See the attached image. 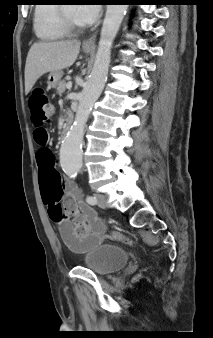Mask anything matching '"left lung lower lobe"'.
Returning <instances> with one entry per match:
<instances>
[{"label": "left lung lower lobe", "instance_id": "1", "mask_svg": "<svg viewBox=\"0 0 213 338\" xmlns=\"http://www.w3.org/2000/svg\"><path fill=\"white\" fill-rule=\"evenodd\" d=\"M126 2H137L136 0H126ZM131 5H134V4H131Z\"/></svg>", "mask_w": 213, "mask_h": 338}]
</instances>
